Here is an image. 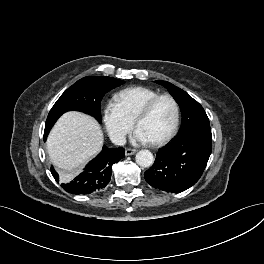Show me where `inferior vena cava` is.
<instances>
[{"label":"inferior vena cava","instance_id":"1","mask_svg":"<svg viewBox=\"0 0 264 264\" xmlns=\"http://www.w3.org/2000/svg\"><path fill=\"white\" fill-rule=\"evenodd\" d=\"M110 139L115 145L123 146L126 143V137L124 134L121 133L111 135Z\"/></svg>","mask_w":264,"mask_h":264}]
</instances>
